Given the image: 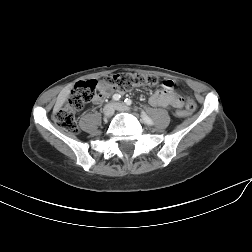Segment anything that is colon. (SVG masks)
<instances>
[{"mask_svg": "<svg viewBox=\"0 0 252 252\" xmlns=\"http://www.w3.org/2000/svg\"><path fill=\"white\" fill-rule=\"evenodd\" d=\"M101 82L112 90L126 92L135 86H156L159 83V79L155 75L150 74L122 72L109 74ZM98 84L96 80H88L79 82L73 88L66 103L54 112L53 118L58 127L72 134L78 132L75 114L82 109L87 102L93 100L97 96ZM163 84L172 86L173 82L164 81ZM195 109V101L188 98L186 102V112L181 114H190Z\"/></svg>", "mask_w": 252, "mask_h": 252, "instance_id": "5ec220e1", "label": "colon"}]
</instances>
